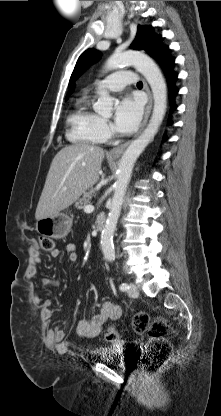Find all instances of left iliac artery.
<instances>
[{
    "label": "left iliac artery",
    "mask_w": 221,
    "mask_h": 416,
    "mask_svg": "<svg viewBox=\"0 0 221 416\" xmlns=\"http://www.w3.org/2000/svg\"><path fill=\"white\" fill-rule=\"evenodd\" d=\"M119 289H120L121 291H127V290L129 289V286H128V284H127V283H122V284L119 286Z\"/></svg>",
    "instance_id": "obj_1"
}]
</instances>
